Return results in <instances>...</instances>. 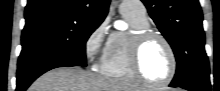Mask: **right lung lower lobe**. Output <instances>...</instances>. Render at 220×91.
<instances>
[{"instance_id": "1", "label": "right lung lower lobe", "mask_w": 220, "mask_h": 91, "mask_svg": "<svg viewBox=\"0 0 220 91\" xmlns=\"http://www.w3.org/2000/svg\"><path fill=\"white\" fill-rule=\"evenodd\" d=\"M65 66H78L73 60L51 56L18 65L16 91H25L29 85L46 71Z\"/></svg>"}]
</instances>
